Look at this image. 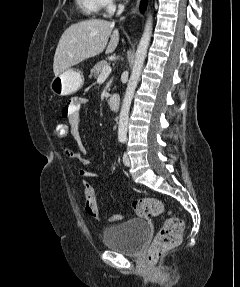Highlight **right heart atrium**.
I'll use <instances>...</instances> for the list:
<instances>
[{"label":"right heart atrium","mask_w":240,"mask_h":287,"mask_svg":"<svg viewBox=\"0 0 240 287\" xmlns=\"http://www.w3.org/2000/svg\"><path fill=\"white\" fill-rule=\"evenodd\" d=\"M101 7L106 13H110L117 5V0H100Z\"/></svg>","instance_id":"obj_1"}]
</instances>
